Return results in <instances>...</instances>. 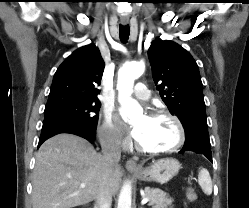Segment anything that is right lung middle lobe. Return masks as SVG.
<instances>
[{
  "label": "right lung middle lobe",
  "mask_w": 249,
  "mask_h": 208,
  "mask_svg": "<svg viewBox=\"0 0 249 208\" xmlns=\"http://www.w3.org/2000/svg\"><path fill=\"white\" fill-rule=\"evenodd\" d=\"M101 103L96 100L68 102L55 106L45 107V119H57L74 122L88 128L95 129Z\"/></svg>",
  "instance_id": "right-lung-middle-lobe-1"
}]
</instances>
